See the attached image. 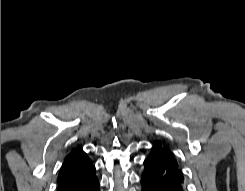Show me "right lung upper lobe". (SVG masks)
I'll return each instance as SVG.
<instances>
[{"label": "right lung upper lobe", "mask_w": 245, "mask_h": 191, "mask_svg": "<svg viewBox=\"0 0 245 191\" xmlns=\"http://www.w3.org/2000/svg\"><path fill=\"white\" fill-rule=\"evenodd\" d=\"M92 166V162L81 149H75L65 158L58 176V182L83 172Z\"/></svg>", "instance_id": "right-lung-upper-lobe-1"}]
</instances>
